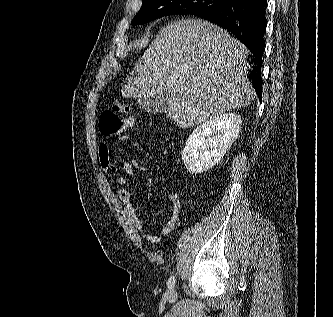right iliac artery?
<instances>
[{"mask_svg": "<svg viewBox=\"0 0 333 317\" xmlns=\"http://www.w3.org/2000/svg\"><path fill=\"white\" fill-rule=\"evenodd\" d=\"M175 283H176V279L174 276H171L169 279H168V283H167V286L169 289H173L174 286H175Z\"/></svg>", "mask_w": 333, "mask_h": 317, "instance_id": "1", "label": "right iliac artery"}]
</instances>
